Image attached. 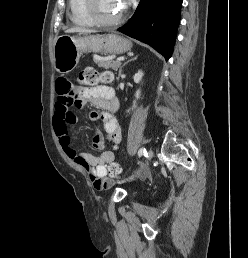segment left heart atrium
Masks as SVG:
<instances>
[{
  "label": "left heart atrium",
  "instance_id": "1",
  "mask_svg": "<svg viewBox=\"0 0 248 258\" xmlns=\"http://www.w3.org/2000/svg\"><path fill=\"white\" fill-rule=\"evenodd\" d=\"M118 1L122 9L125 8L130 3V0H118Z\"/></svg>",
  "mask_w": 248,
  "mask_h": 258
}]
</instances>
